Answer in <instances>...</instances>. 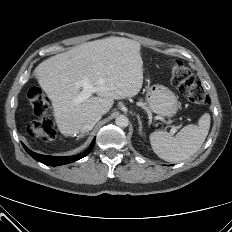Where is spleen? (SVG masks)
I'll return each mask as SVG.
<instances>
[{"label": "spleen", "mask_w": 232, "mask_h": 232, "mask_svg": "<svg viewBox=\"0 0 232 232\" xmlns=\"http://www.w3.org/2000/svg\"><path fill=\"white\" fill-rule=\"evenodd\" d=\"M210 128V115L203 114L198 125L189 124L181 129L176 136L166 131L150 134L153 151L161 159L168 162H180L194 155L205 141Z\"/></svg>", "instance_id": "3e777b00"}]
</instances>
